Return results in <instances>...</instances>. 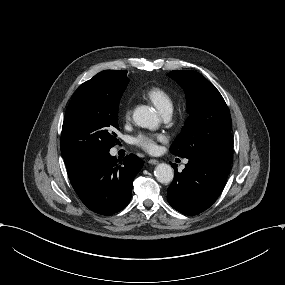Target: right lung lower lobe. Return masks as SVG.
Wrapping results in <instances>:
<instances>
[{"mask_svg":"<svg viewBox=\"0 0 285 285\" xmlns=\"http://www.w3.org/2000/svg\"><path fill=\"white\" fill-rule=\"evenodd\" d=\"M143 161L134 154L119 161L110 153L85 157L67 168L70 182L87 208L112 215L130 201L133 180Z\"/></svg>","mask_w":285,"mask_h":285,"instance_id":"1","label":"right lung lower lobe"}]
</instances>
